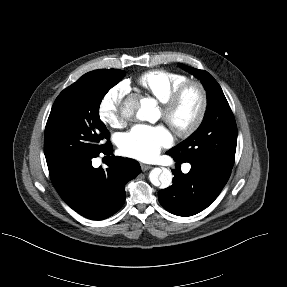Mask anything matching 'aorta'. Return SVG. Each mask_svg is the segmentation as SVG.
<instances>
[{
    "label": "aorta",
    "mask_w": 287,
    "mask_h": 287,
    "mask_svg": "<svg viewBox=\"0 0 287 287\" xmlns=\"http://www.w3.org/2000/svg\"><path fill=\"white\" fill-rule=\"evenodd\" d=\"M155 109L156 104L154 100L131 95L123 102L121 114L125 118L136 115L139 120L149 121ZM149 179L154 186L167 188L172 184L173 175L167 168H154L149 174Z\"/></svg>",
    "instance_id": "1"
}]
</instances>
